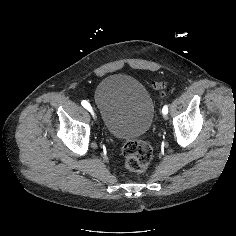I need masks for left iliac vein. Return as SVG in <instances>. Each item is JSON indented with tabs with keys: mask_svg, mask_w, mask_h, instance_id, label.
I'll return each instance as SVG.
<instances>
[{
	"mask_svg": "<svg viewBox=\"0 0 236 236\" xmlns=\"http://www.w3.org/2000/svg\"><path fill=\"white\" fill-rule=\"evenodd\" d=\"M163 113H164L163 114L164 119L167 120L168 114L165 111Z\"/></svg>",
	"mask_w": 236,
	"mask_h": 236,
	"instance_id": "obj_1",
	"label": "left iliac vein"
}]
</instances>
